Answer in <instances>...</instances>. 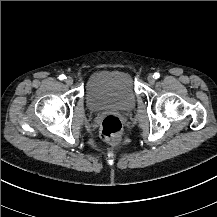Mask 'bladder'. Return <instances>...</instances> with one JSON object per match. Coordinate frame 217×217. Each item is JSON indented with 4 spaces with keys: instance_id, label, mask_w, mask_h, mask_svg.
Wrapping results in <instances>:
<instances>
[{
    "instance_id": "obj_1",
    "label": "bladder",
    "mask_w": 217,
    "mask_h": 217,
    "mask_svg": "<svg viewBox=\"0 0 217 217\" xmlns=\"http://www.w3.org/2000/svg\"><path fill=\"white\" fill-rule=\"evenodd\" d=\"M86 103L90 111L130 108L135 103L130 77L123 71L93 76L87 84Z\"/></svg>"
}]
</instances>
